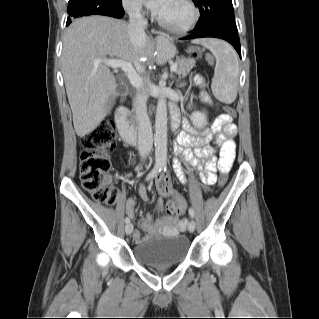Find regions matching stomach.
I'll return each mask as SVG.
<instances>
[{"instance_id":"stomach-1","label":"stomach","mask_w":319,"mask_h":319,"mask_svg":"<svg viewBox=\"0 0 319 319\" xmlns=\"http://www.w3.org/2000/svg\"><path fill=\"white\" fill-rule=\"evenodd\" d=\"M157 49L162 62L173 58L177 52L175 45L167 38H162L158 41Z\"/></svg>"}]
</instances>
